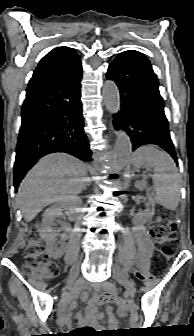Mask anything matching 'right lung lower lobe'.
<instances>
[{
    "mask_svg": "<svg viewBox=\"0 0 194 336\" xmlns=\"http://www.w3.org/2000/svg\"><path fill=\"white\" fill-rule=\"evenodd\" d=\"M81 77L80 63L58 78L27 89L14 164L15 190L26 172L48 153L66 152L84 162L92 160L83 130Z\"/></svg>",
    "mask_w": 194,
    "mask_h": 336,
    "instance_id": "1",
    "label": "right lung lower lobe"
}]
</instances>
